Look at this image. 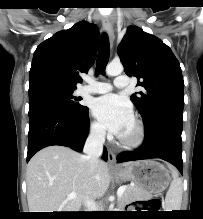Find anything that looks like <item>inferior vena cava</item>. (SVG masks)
Here are the masks:
<instances>
[{"instance_id": "inferior-vena-cava-1", "label": "inferior vena cava", "mask_w": 203, "mask_h": 219, "mask_svg": "<svg viewBox=\"0 0 203 219\" xmlns=\"http://www.w3.org/2000/svg\"><path fill=\"white\" fill-rule=\"evenodd\" d=\"M106 131L103 127H96L87 137L83 152L88 160L91 171H94L99 157L103 154Z\"/></svg>"}]
</instances>
